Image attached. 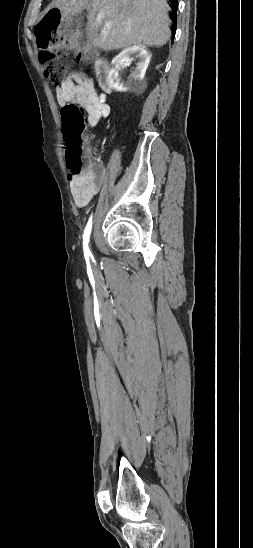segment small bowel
<instances>
[{"label": "small bowel", "mask_w": 253, "mask_h": 548, "mask_svg": "<svg viewBox=\"0 0 253 548\" xmlns=\"http://www.w3.org/2000/svg\"><path fill=\"white\" fill-rule=\"evenodd\" d=\"M56 99L61 106L78 104L84 107L92 127H97L110 112L104 96L95 89L92 79L82 72H72L67 76L64 84L56 89ZM96 167V173L86 171L70 179L71 194L78 207L88 205L101 188L105 171L100 166Z\"/></svg>", "instance_id": "obj_1"}]
</instances>
